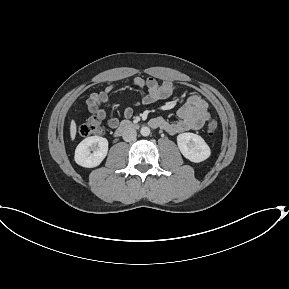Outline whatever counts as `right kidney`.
I'll use <instances>...</instances> for the list:
<instances>
[{"label": "right kidney", "instance_id": "obj_1", "mask_svg": "<svg viewBox=\"0 0 289 289\" xmlns=\"http://www.w3.org/2000/svg\"><path fill=\"white\" fill-rule=\"evenodd\" d=\"M108 153V141L100 136H91L81 141L75 150V162L86 168L98 166Z\"/></svg>", "mask_w": 289, "mask_h": 289}]
</instances>
